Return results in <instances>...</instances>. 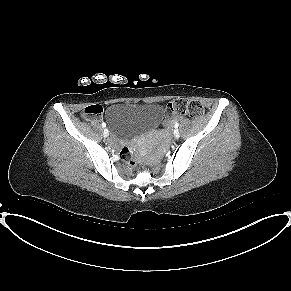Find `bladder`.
Here are the masks:
<instances>
[{
    "label": "bladder",
    "mask_w": 291,
    "mask_h": 291,
    "mask_svg": "<svg viewBox=\"0 0 291 291\" xmlns=\"http://www.w3.org/2000/svg\"><path fill=\"white\" fill-rule=\"evenodd\" d=\"M163 118L164 108L159 104L112 103L105 113L110 132L122 141L156 127Z\"/></svg>",
    "instance_id": "31cf9c89"
}]
</instances>
